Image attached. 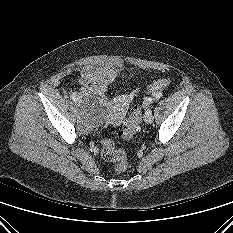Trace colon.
Returning <instances> with one entry per match:
<instances>
[{
	"mask_svg": "<svg viewBox=\"0 0 233 233\" xmlns=\"http://www.w3.org/2000/svg\"><path fill=\"white\" fill-rule=\"evenodd\" d=\"M170 84L169 78H163L155 81L149 86L141 101L144 104L150 103L156 98L159 93ZM141 121V105L135 104L132 106L128 119L126 120L123 129L118 133V136L124 140L131 139L138 128ZM102 157L110 162H114V171L123 173L127 170L128 161L124 151L115 149L114 143L109 139L102 140Z\"/></svg>",
	"mask_w": 233,
	"mask_h": 233,
	"instance_id": "obj_1",
	"label": "colon"
}]
</instances>
